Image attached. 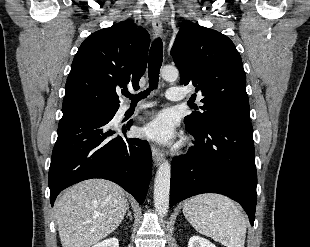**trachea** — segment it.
<instances>
[{
	"mask_svg": "<svg viewBox=\"0 0 310 247\" xmlns=\"http://www.w3.org/2000/svg\"><path fill=\"white\" fill-rule=\"evenodd\" d=\"M163 61V45L162 40L157 38L153 41L149 53L148 63V76H149V89L138 95H131L128 92H124L123 95L129 97L132 103H137L138 100L146 98L150 93V90L156 89L159 81V72Z\"/></svg>",
	"mask_w": 310,
	"mask_h": 247,
	"instance_id": "obj_1",
	"label": "trachea"
}]
</instances>
